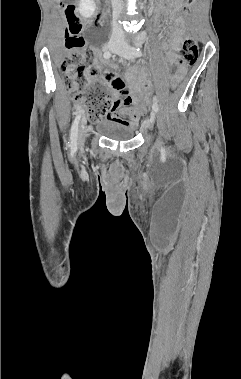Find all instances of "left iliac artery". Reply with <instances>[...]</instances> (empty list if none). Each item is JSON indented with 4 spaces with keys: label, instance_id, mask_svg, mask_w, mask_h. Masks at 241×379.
<instances>
[{
    "label": "left iliac artery",
    "instance_id": "1",
    "mask_svg": "<svg viewBox=\"0 0 241 379\" xmlns=\"http://www.w3.org/2000/svg\"><path fill=\"white\" fill-rule=\"evenodd\" d=\"M132 52H133V54H134L136 57H140V56H142V52H141V50H140V43H139V42L136 43V47H132ZM152 108H153V110H154L155 112H157L158 109H159V106H158V104H157V98H156V97L154 98V103H153Z\"/></svg>",
    "mask_w": 241,
    "mask_h": 379
}]
</instances>
